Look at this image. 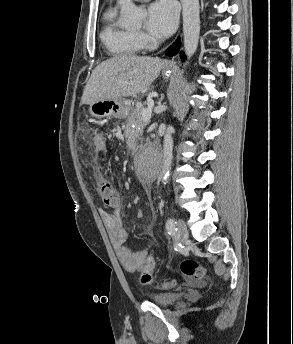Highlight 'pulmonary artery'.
Segmentation results:
<instances>
[{
    "label": "pulmonary artery",
    "instance_id": "1",
    "mask_svg": "<svg viewBox=\"0 0 293 344\" xmlns=\"http://www.w3.org/2000/svg\"><path fill=\"white\" fill-rule=\"evenodd\" d=\"M139 1H147V0H139Z\"/></svg>",
    "mask_w": 293,
    "mask_h": 344
}]
</instances>
